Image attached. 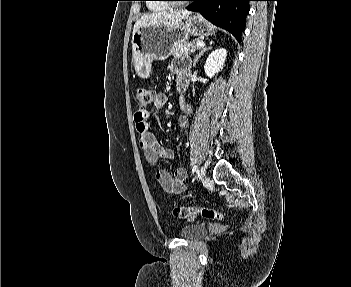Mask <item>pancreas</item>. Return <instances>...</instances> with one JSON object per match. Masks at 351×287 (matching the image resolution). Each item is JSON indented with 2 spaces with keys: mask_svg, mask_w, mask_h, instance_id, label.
Masks as SVG:
<instances>
[{
  "mask_svg": "<svg viewBox=\"0 0 351 287\" xmlns=\"http://www.w3.org/2000/svg\"><path fill=\"white\" fill-rule=\"evenodd\" d=\"M200 41L199 39L194 40L193 42L182 41L174 45L172 56L174 59L188 57L191 53H194L199 46L196 43Z\"/></svg>",
  "mask_w": 351,
  "mask_h": 287,
  "instance_id": "cf45deb5",
  "label": "pancreas"
}]
</instances>
